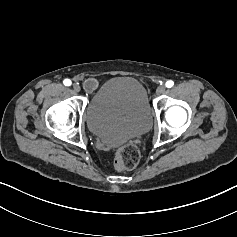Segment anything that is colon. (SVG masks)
Wrapping results in <instances>:
<instances>
[{"label":"colon","instance_id":"1","mask_svg":"<svg viewBox=\"0 0 237 237\" xmlns=\"http://www.w3.org/2000/svg\"><path fill=\"white\" fill-rule=\"evenodd\" d=\"M140 160V152L133 144L124 145L114 152V166L120 170L133 169Z\"/></svg>","mask_w":237,"mask_h":237}]
</instances>
